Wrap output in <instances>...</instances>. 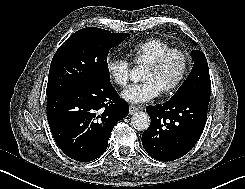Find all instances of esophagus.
<instances>
[{"label":"esophagus","instance_id":"obj_1","mask_svg":"<svg viewBox=\"0 0 245 189\" xmlns=\"http://www.w3.org/2000/svg\"><path fill=\"white\" fill-rule=\"evenodd\" d=\"M139 110L138 107L134 106V105H130L129 106V114L133 115L135 112H137Z\"/></svg>","mask_w":245,"mask_h":189}]
</instances>
